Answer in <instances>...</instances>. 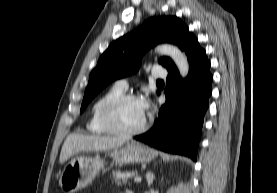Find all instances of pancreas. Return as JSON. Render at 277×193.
<instances>
[{
  "instance_id": "pancreas-1",
  "label": "pancreas",
  "mask_w": 277,
  "mask_h": 193,
  "mask_svg": "<svg viewBox=\"0 0 277 193\" xmlns=\"http://www.w3.org/2000/svg\"><path fill=\"white\" fill-rule=\"evenodd\" d=\"M138 173L136 171H120V170H116L113 171L112 174H110V178L112 179V182H114L115 184L121 186L122 184H126L127 180L137 176Z\"/></svg>"
}]
</instances>
